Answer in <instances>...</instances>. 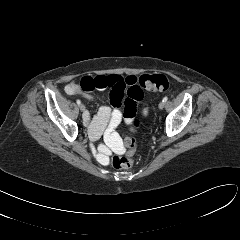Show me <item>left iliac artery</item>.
Returning a JSON list of instances; mask_svg holds the SVG:
<instances>
[{
  "instance_id": "left-iliac-artery-1",
  "label": "left iliac artery",
  "mask_w": 240,
  "mask_h": 240,
  "mask_svg": "<svg viewBox=\"0 0 240 240\" xmlns=\"http://www.w3.org/2000/svg\"><path fill=\"white\" fill-rule=\"evenodd\" d=\"M167 100H168V97H164L162 101L166 102Z\"/></svg>"
}]
</instances>
